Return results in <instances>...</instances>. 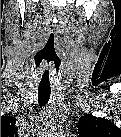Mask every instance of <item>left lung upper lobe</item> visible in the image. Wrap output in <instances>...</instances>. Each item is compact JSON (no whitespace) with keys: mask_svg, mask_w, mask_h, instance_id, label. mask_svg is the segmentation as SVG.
Wrapping results in <instances>:
<instances>
[{"mask_svg":"<svg viewBox=\"0 0 121 137\" xmlns=\"http://www.w3.org/2000/svg\"><path fill=\"white\" fill-rule=\"evenodd\" d=\"M78 131L81 136L85 137H114L121 135V131L116 127V125H114L113 122L92 115H84L79 119Z\"/></svg>","mask_w":121,"mask_h":137,"instance_id":"1","label":"left lung upper lobe"}]
</instances>
